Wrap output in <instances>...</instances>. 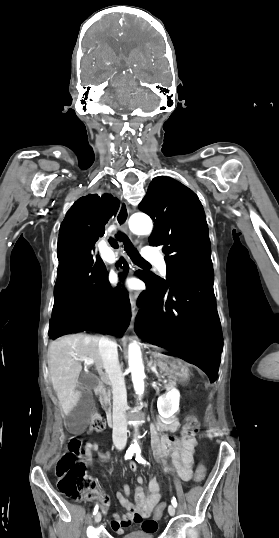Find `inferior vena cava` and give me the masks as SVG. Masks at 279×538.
Wrapping results in <instances>:
<instances>
[{
    "mask_svg": "<svg viewBox=\"0 0 279 538\" xmlns=\"http://www.w3.org/2000/svg\"><path fill=\"white\" fill-rule=\"evenodd\" d=\"M110 338H113V335H104L99 340V350L104 359V368L113 385V442L121 450L126 444L129 431L126 425V415L123 414V411L127 410L126 389L119 369L117 344Z\"/></svg>",
    "mask_w": 279,
    "mask_h": 538,
    "instance_id": "602c4592",
    "label": "inferior vena cava"
}]
</instances>
